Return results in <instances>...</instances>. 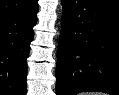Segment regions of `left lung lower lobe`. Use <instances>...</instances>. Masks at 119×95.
I'll use <instances>...</instances> for the list:
<instances>
[{
  "label": "left lung lower lobe",
  "instance_id": "0a47b994",
  "mask_svg": "<svg viewBox=\"0 0 119 95\" xmlns=\"http://www.w3.org/2000/svg\"><path fill=\"white\" fill-rule=\"evenodd\" d=\"M57 95H119V5L102 0H62Z\"/></svg>",
  "mask_w": 119,
  "mask_h": 95
}]
</instances>
